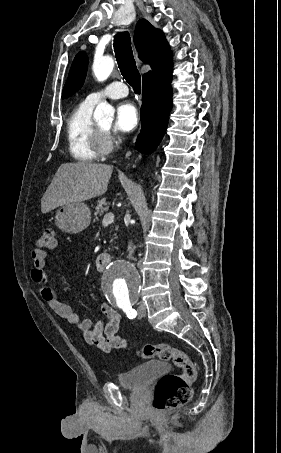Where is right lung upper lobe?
Masks as SVG:
<instances>
[{
	"mask_svg": "<svg viewBox=\"0 0 281 453\" xmlns=\"http://www.w3.org/2000/svg\"><path fill=\"white\" fill-rule=\"evenodd\" d=\"M134 44L139 58L144 63H150L151 68L156 67L172 54L163 32L154 28L146 19H141L137 23Z\"/></svg>",
	"mask_w": 281,
	"mask_h": 453,
	"instance_id": "cb5924a9",
	"label": "right lung upper lobe"
}]
</instances>
